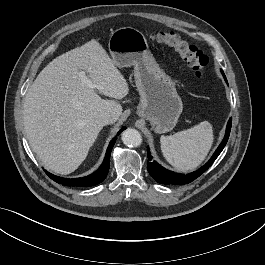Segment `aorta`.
<instances>
[{
    "instance_id": "1",
    "label": "aorta",
    "mask_w": 265,
    "mask_h": 265,
    "mask_svg": "<svg viewBox=\"0 0 265 265\" xmlns=\"http://www.w3.org/2000/svg\"><path fill=\"white\" fill-rule=\"evenodd\" d=\"M122 141L126 146L137 147L142 143L141 134L133 128H128L122 132Z\"/></svg>"
}]
</instances>
